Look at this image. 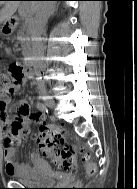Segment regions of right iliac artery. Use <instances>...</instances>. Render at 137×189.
Segmentation results:
<instances>
[{"mask_svg":"<svg viewBox=\"0 0 137 189\" xmlns=\"http://www.w3.org/2000/svg\"><path fill=\"white\" fill-rule=\"evenodd\" d=\"M37 108H38L40 111H46V112H47V108H46V106H45L42 102H38V103H37Z\"/></svg>","mask_w":137,"mask_h":189,"instance_id":"82829eb1","label":"right iliac artery"}]
</instances>
